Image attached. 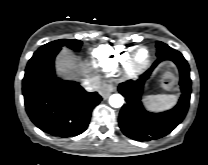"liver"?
<instances>
[{
  "label": "liver",
  "mask_w": 208,
  "mask_h": 165,
  "mask_svg": "<svg viewBox=\"0 0 208 165\" xmlns=\"http://www.w3.org/2000/svg\"><path fill=\"white\" fill-rule=\"evenodd\" d=\"M56 64L58 72L67 77L72 76L79 66L69 51L66 49L63 50L61 55L58 57ZM82 72L84 75L89 77L88 69L83 68Z\"/></svg>",
  "instance_id": "6515ba94"
}]
</instances>
